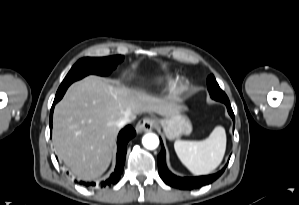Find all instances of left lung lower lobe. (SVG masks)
<instances>
[{"instance_id":"1","label":"left lung lower lobe","mask_w":299,"mask_h":205,"mask_svg":"<svg viewBox=\"0 0 299 205\" xmlns=\"http://www.w3.org/2000/svg\"><path fill=\"white\" fill-rule=\"evenodd\" d=\"M220 101L226 105L228 113L230 114V116L233 119V122L235 123V117H234L233 110L230 106L229 99H223ZM161 144H162V150L157 158L159 174L162 180L171 187L178 188L181 190H191V189L200 188L202 186L208 185L213 181H215L225 170L226 166L221 171L213 175L199 176V177H178L172 174L168 170L165 162V149L162 140H161Z\"/></svg>"}]
</instances>
